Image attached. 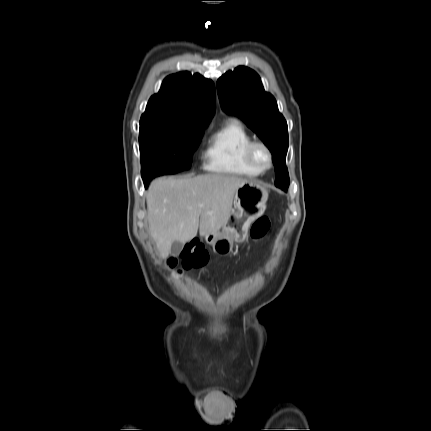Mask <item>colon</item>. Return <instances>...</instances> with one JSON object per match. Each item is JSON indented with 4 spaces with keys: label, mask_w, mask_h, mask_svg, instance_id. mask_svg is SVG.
Returning a JSON list of instances; mask_svg holds the SVG:
<instances>
[{
    "label": "colon",
    "mask_w": 431,
    "mask_h": 431,
    "mask_svg": "<svg viewBox=\"0 0 431 431\" xmlns=\"http://www.w3.org/2000/svg\"><path fill=\"white\" fill-rule=\"evenodd\" d=\"M270 228V220L268 217H261L254 222L250 229V236L253 239L263 237ZM181 262L185 268H197L204 265L207 261V253L199 244H191L187 246L180 254ZM171 265L177 263V259H171Z\"/></svg>",
    "instance_id": "1"
}]
</instances>
